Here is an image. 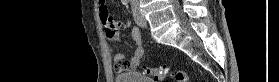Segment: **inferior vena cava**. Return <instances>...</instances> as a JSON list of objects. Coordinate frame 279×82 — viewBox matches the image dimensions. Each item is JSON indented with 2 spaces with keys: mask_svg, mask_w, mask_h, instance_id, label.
Instances as JSON below:
<instances>
[{
  "mask_svg": "<svg viewBox=\"0 0 279 82\" xmlns=\"http://www.w3.org/2000/svg\"><path fill=\"white\" fill-rule=\"evenodd\" d=\"M133 6L135 7V9H137V5L135 1H133Z\"/></svg>",
  "mask_w": 279,
  "mask_h": 82,
  "instance_id": "obj_1",
  "label": "inferior vena cava"
}]
</instances>
